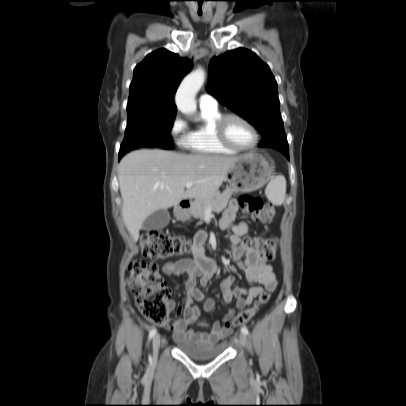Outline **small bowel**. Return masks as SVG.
<instances>
[{"label":"small bowel","mask_w":406,"mask_h":406,"mask_svg":"<svg viewBox=\"0 0 406 406\" xmlns=\"http://www.w3.org/2000/svg\"><path fill=\"white\" fill-rule=\"evenodd\" d=\"M238 212V204L235 200H231L223 212L219 220V227L222 230H229L228 239L234 246L232 257L237 267L244 273L246 279L250 283L259 284L246 288L241 285L234 286L232 276H227L220 285V291L223 301L230 304L233 300L236 301V307L241 309L253 302V300L263 291V288L273 291L277 286L276 277L271 264L260 254L252 249L247 248L242 244V237L249 231V226L246 222L234 223ZM207 234L205 231H200L195 236L193 244V259H178L168 262L163 266V272L168 277L184 275V290L186 299L184 307H180L176 311V315L171 318L170 322L163 326L166 330L173 332V337L176 342H188L196 345L216 343L227 336L231 329L224 326L233 313L234 309L229 307L227 313L221 321L213 324L200 322L199 326L206 328L205 332H198L188 327L197 322L201 309L194 305V301H203L202 310L204 312H212L214 309V300L205 295L196 288V280L202 286H206L216 272V264L213 259L208 257L203 249V244ZM170 309H174L173 301H169ZM180 315H182L180 317Z\"/></svg>","instance_id":"1"}]
</instances>
